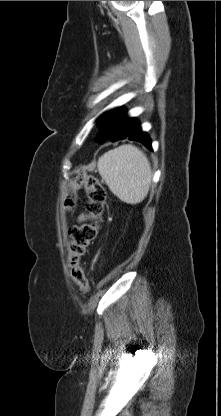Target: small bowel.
Listing matches in <instances>:
<instances>
[{
  "instance_id": "1",
  "label": "small bowel",
  "mask_w": 221,
  "mask_h": 416,
  "mask_svg": "<svg viewBox=\"0 0 221 416\" xmlns=\"http://www.w3.org/2000/svg\"><path fill=\"white\" fill-rule=\"evenodd\" d=\"M88 218H89V216L87 214H81V215H79L77 222L81 223V222L87 220Z\"/></svg>"
}]
</instances>
